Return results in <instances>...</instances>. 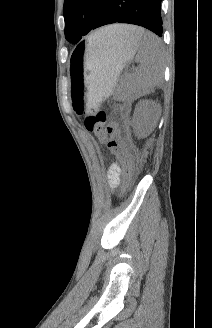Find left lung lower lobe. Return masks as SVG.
Instances as JSON below:
<instances>
[{
	"instance_id": "left-lung-lower-lobe-1",
	"label": "left lung lower lobe",
	"mask_w": 212,
	"mask_h": 328,
	"mask_svg": "<svg viewBox=\"0 0 212 328\" xmlns=\"http://www.w3.org/2000/svg\"><path fill=\"white\" fill-rule=\"evenodd\" d=\"M161 1L103 0L92 30L117 22L129 23L145 27L161 37L163 33Z\"/></svg>"
}]
</instances>
